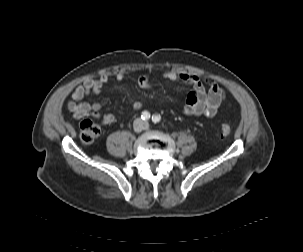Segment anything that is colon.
Segmentation results:
<instances>
[{"label":"colon","instance_id":"obj_1","mask_svg":"<svg viewBox=\"0 0 303 252\" xmlns=\"http://www.w3.org/2000/svg\"><path fill=\"white\" fill-rule=\"evenodd\" d=\"M219 130L221 135L224 137L229 136L232 132L231 127L226 123L221 124ZM100 134H101V130L99 125H97L93 121L85 120L81 123L80 137L84 143L86 144L93 143L100 136Z\"/></svg>","mask_w":303,"mask_h":252}]
</instances>
